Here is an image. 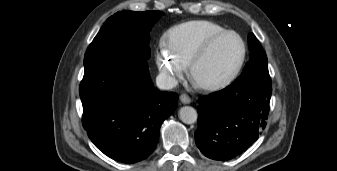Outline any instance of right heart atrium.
<instances>
[{
	"instance_id": "right-heart-atrium-1",
	"label": "right heart atrium",
	"mask_w": 337,
	"mask_h": 171,
	"mask_svg": "<svg viewBox=\"0 0 337 171\" xmlns=\"http://www.w3.org/2000/svg\"><path fill=\"white\" fill-rule=\"evenodd\" d=\"M156 61L161 73L171 84H175L185 74L186 67L172 57L165 45L159 46Z\"/></svg>"
}]
</instances>
